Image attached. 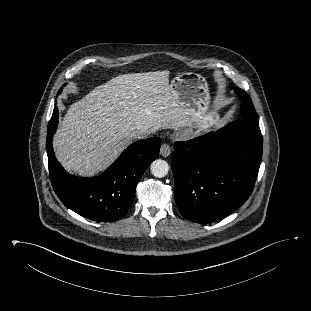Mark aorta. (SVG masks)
<instances>
[{
  "instance_id": "1",
  "label": "aorta",
  "mask_w": 311,
  "mask_h": 311,
  "mask_svg": "<svg viewBox=\"0 0 311 311\" xmlns=\"http://www.w3.org/2000/svg\"><path fill=\"white\" fill-rule=\"evenodd\" d=\"M169 165L165 160L157 159L151 164V173L155 177L162 178L168 174Z\"/></svg>"
}]
</instances>
